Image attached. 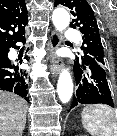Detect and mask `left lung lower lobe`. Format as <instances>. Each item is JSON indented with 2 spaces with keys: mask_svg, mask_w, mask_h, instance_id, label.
Instances as JSON below:
<instances>
[{
  "mask_svg": "<svg viewBox=\"0 0 117 136\" xmlns=\"http://www.w3.org/2000/svg\"><path fill=\"white\" fill-rule=\"evenodd\" d=\"M76 84H79L70 109L79 104H107L114 107L106 70L94 58L82 57L74 62Z\"/></svg>",
  "mask_w": 117,
  "mask_h": 136,
  "instance_id": "obj_1",
  "label": "left lung lower lobe"
}]
</instances>
